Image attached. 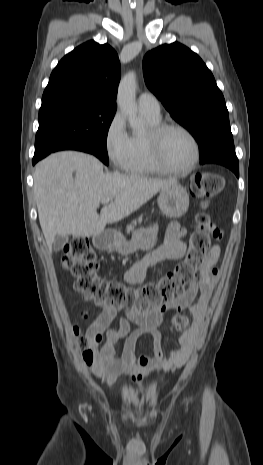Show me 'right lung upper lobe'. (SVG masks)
I'll list each match as a JSON object with an SVG mask.
<instances>
[{
    "mask_svg": "<svg viewBox=\"0 0 263 465\" xmlns=\"http://www.w3.org/2000/svg\"><path fill=\"white\" fill-rule=\"evenodd\" d=\"M120 62L108 44L88 41L67 54L52 71L42 103L74 100L116 108Z\"/></svg>",
    "mask_w": 263,
    "mask_h": 465,
    "instance_id": "right-lung-upper-lobe-1",
    "label": "right lung upper lobe"
}]
</instances>
